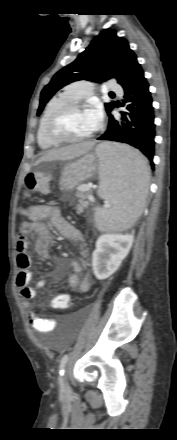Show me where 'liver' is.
<instances>
[{
	"label": "liver",
	"mask_w": 177,
	"mask_h": 440,
	"mask_svg": "<svg viewBox=\"0 0 177 440\" xmlns=\"http://www.w3.org/2000/svg\"><path fill=\"white\" fill-rule=\"evenodd\" d=\"M95 143L92 141L81 142L77 144H71L59 149H54L46 152L40 159L36 161V165L42 162H48L53 160H70L81 155L88 153Z\"/></svg>",
	"instance_id": "obj_1"
}]
</instances>
